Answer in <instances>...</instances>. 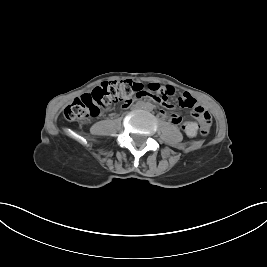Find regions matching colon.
<instances>
[{
    "mask_svg": "<svg viewBox=\"0 0 267 267\" xmlns=\"http://www.w3.org/2000/svg\"><path fill=\"white\" fill-rule=\"evenodd\" d=\"M149 89L156 92L162 101H166L172 95L169 88L165 89L160 85L149 86ZM140 90L141 87L130 81L108 82L104 86L95 89L91 95L76 98L65 109V115L68 119L84 120L89 116L97 115L102 107L112 101L123 102L125 107H128L132 102V96ZM180 103L182 106L192 108L200 132L202 134L208 133L211 125L210 114L187 95L180 98Z\"/></svg>",
    "mask_w": 267,
    "mask_h": 267,
    "instance_id": "5ec220e1",
    "label": "colon"
}]
</instances>
